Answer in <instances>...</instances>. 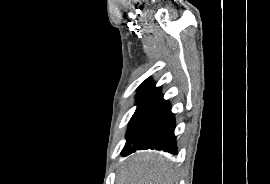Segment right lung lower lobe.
Segmentation results:
<instances>
[{
  "label": "right lung lower lobe",
  "mask_w": 270,
  "mask_h": 184,
  "mask_svg": "<svg viewBox=\"0 0 270 184\" xmlns=\"http://www.w3.org/2000/svg\"><path fill=\"white\" fill-rule=\"evenodd\" d=\"M175 117L170 103L161 92L149 98L133 123L127 142L121 152L123 157L141 149L163 150L177 154Z\"/></svg>",
  "instance_id": "obj_1"
}]
</instances>
